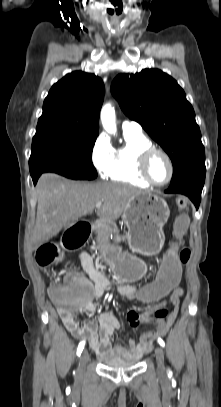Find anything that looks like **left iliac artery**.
Segmentation results:
<instances>
[{"label":"left iliac artery","instance_id":"left-iliac-artery-1","mask_svg":"<svg viewBox=\"0 0 221 407\" xmlns=\"http://www.w3.org/2000/svg\"><path fill=\"white\" fill-rule=\"evenodd\" d=\"M158 343L160 344V346L164 347L165 346V342L162 339H158ZM172 373L169 371V375H171Z\"/></svg>","mask_w":221,"mask_h":407}]
</instances>
